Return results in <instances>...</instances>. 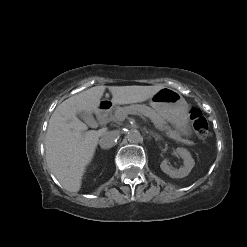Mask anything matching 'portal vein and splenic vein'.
Here are the masks:
<instances>
[{"mask_svg":"<svg viewBox=\"0 0 247 247\" xmlns=\"http://www.w3.org/2000/svg\"><path fill=\"white\" fill-rule=\"evenodd\" d=\"M130 114L136 115L137 113H135V112H131ZM137 115H139V114H137ZM140 116H141V115H140Z\"/></svg>","mask_w":247,"mask_h":247,"instance_id":"portal-vein-and-splenic-vein-1","label":"portal vein and splenic vein"}]
</instances>
